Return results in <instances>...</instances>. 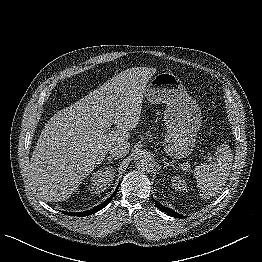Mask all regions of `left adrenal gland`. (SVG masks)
I'll list each match as a JSON object with an SVG mask.
<instances>
[{"instance_id":"1","label":"left adrenal gland","mask_w":262,"mask_h":262,"mask_svg":"<svg viewBox=\"0 0 262 262\" xmlns=\"http://www.w3.org/2000/svg\"><path fill=\"white\" fill-rule=\"evenodd\" d=\"M163 163H164V167H167V166H173V163H174V161H173V162H170V163H168V162L166 161V158H165V157H163Z\"/></svg>"}]
</instances>
